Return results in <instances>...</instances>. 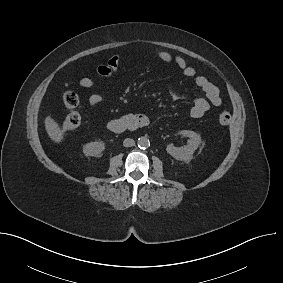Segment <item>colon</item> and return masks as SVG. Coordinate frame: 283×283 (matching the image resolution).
<instances>
[{"instance_id": "colon-1", "label": "colon", "mask_w": 283, "mask_h": 283, "mask_svg": "<svg viewBox=\"0 0 283 283\" xmlns=\"http://www.w3.org/2000/svg\"><path fill=\"white\" fill-rule=\"evenodd\" d=\"M62 102L67 109L68 113L62 122V128L66 132H72L76 130L82 123V116L78 111V98L75 93L67 91L62 97ZM219 124L226 127L231 122V114L223 110L218 117Z\"/></svg>"}]
</instances>
